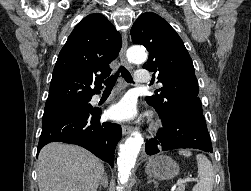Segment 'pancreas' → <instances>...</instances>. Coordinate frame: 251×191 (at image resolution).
I'll return each mask as SVG.
<instances>
[{
    "label": "pancreas",
    "instance_id": "1",
    "mask_svg": "<svg viewBox=\"0 0 251 191\" xmlns=\"http://www.w3.org/2000/svg\"><path fill=\"white\" fill-rule=\"evenodd\" d=\"M176 191H185V185H182V187H178V189H176Z\"/></svg>",
    "mask_w": 251,
    "mask_h": 191
}]
</instances>
